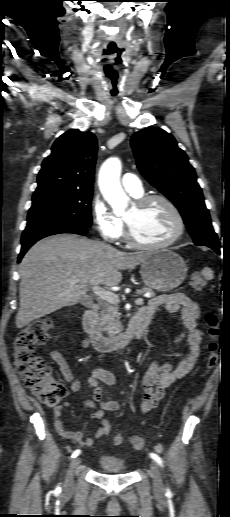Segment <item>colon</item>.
I'll list each match as a JSON object with an SVG mask.
<instances>
[{
    "label": "colon",
    "instance_id": "obj_1",
    "mask_svg": "<svg viewBox=\"0 0 230 517\" xmlns=\"http://www.w3.org/2000/svg\"><path fill=\"white\" fill-rule=\"evenodd\" d=\"M190 285L196 292H203L207 284L200 273H195ZM205 322L209 342L203 374L211 371L217 363V339L220 334L219 319L216 314L208 312L205 315ZM50 325V320L38 319L18 332L13 342V362L25 386L33 395L44 405L54 407L66 396L67 389L52 376L50 365L35 351L37 345L50 339ZM119 440L118 436L112 438L114 442ZM131 444L135 449L141 450L144 447V440L140 436H133Z\"/></svg>",
    "mask_w": 230,
    "mask_h": 517
}]
</instances>
